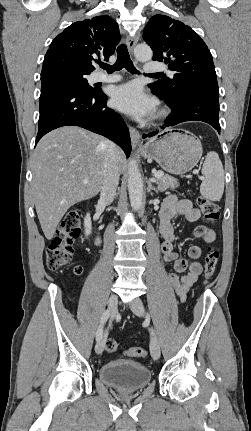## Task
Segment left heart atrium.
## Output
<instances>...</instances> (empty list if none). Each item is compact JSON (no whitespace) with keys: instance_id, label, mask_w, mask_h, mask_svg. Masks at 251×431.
I'll list each match as a JSON object with an SVG mask.
<instances>
[{"instance_id":"left-heart-atrium-1","label":"left heart atrium","mask_w":251,"mask_h":431,"mask_svg":"<svg viewBox=\"0 0 251 431\" xmlns=\"http://www.w3.org/2000/svg\"><path fill=\"white\" fill-rule=\"evenodd\" d=\"M111 103L114 108L138 119L149 116L155 109V101L137 83L117 87L113 91Z\"/></svg>"}]
</instances>
